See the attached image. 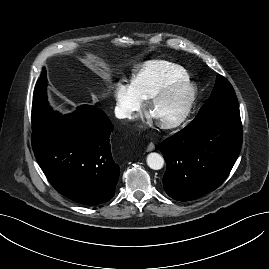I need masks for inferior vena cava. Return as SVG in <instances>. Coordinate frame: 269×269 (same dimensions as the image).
Here are the masks:
<instances>
[{"label":"inferior vena cava","instance_id":"obj_1","mask_svg":"<svg viewBox=\"0 0 269 269\" xmlns=\"http://www.w3.org/2000/svg\"><path fill=\"white\" fill-rule=\"evenodd\" d=\"M117 118H131V112L128 111H116Z\"/></svg>","mask_w":269,"mask_h":269}]
</instances>
